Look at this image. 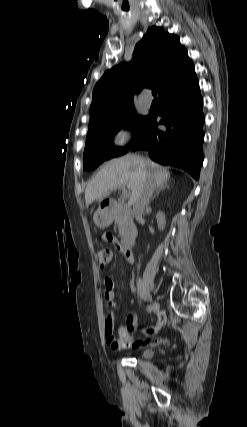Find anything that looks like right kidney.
Here are the masks:
<instances>
[{
  "label": "right kidney",
  "mask_w": 247,
  "mask_h": 427,
  "mask_svg": "<svg viewBox=\"0 0 247 427\" xmlns=\"http://www.w3.org/2000/svg\"><path fill=\"white\" fill-rule=\"evenodd\" d=\"M156 220H157L159 230H164L165 224H166L165 214L163 212L159 211L156 214Z\"/></svg>",
  "instance_id": "1"
}]
</instances>
